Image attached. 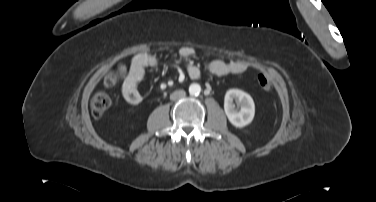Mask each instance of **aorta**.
Segmentation results:
<instances>
[{"mask_svg": "<svg viewBox=\"0 0 376 202\" xmlns=\"http://www.w3.org/2000/svg\"><path fill=\"white\" fill-rule=\"evenodd\" d=\"M201 92V86L197 83H192L190 86H189V93L190 95H199Z\"/></svg>", "mask_w": 376, "mask_h": 202, "instance_id": "aorta-1", "label": "aorta"}]
</instances>
